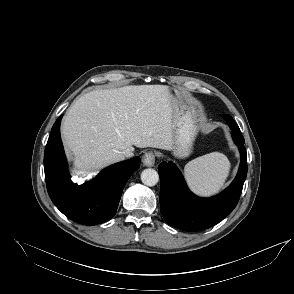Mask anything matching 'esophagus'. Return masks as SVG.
Returning a JSON list of instances; mask_svg holds the SVG:
<instances>
[{
    "label": "esophagus",
    "mask_w": 294,
    "mask_h": 294,
    "mask_svg": "<svg viewBox=\"0 0 294 294\" xmlns=\"http://www.w3.org/2000/svg\"><path fill=\"white\" fill-rule=\"evenodd\" d=\"M142 162L147 167L154 166L155 163V154L151 151L146 152L142 157Z\"/></svg>",
    "instance_id": "esophagus-1"
}]
</instances>
